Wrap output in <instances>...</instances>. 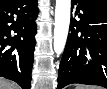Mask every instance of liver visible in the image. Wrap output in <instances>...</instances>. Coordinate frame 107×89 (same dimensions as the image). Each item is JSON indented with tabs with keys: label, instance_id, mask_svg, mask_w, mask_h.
<instances>
[{
	"label": "liver",
	"instance_id": "6515ba94",
	"mask_svg": "<svg viewBox=\"0 0 107 89\" xmlns=\"http://www.w3.org/2000/svg\"><path fill=\"white\" fill-rule=\"evenodd\" d=\"M0 89H19V86L10 81L1 80Z\"/></svg>",
	"mask_w": 107,
	"mask_h": 89
}]
</instances>
